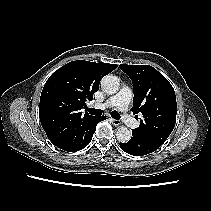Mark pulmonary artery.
I'll list each match as a JSON object with an SVG mask.
<instances>
[{"label":"pulmonary artery","instance_id":"obj_1","mask_svg":"<svg viewBox=\"0 0 211 211\" xmlns=\"http://www.w3.org/2000/svg\"><path fill=\"white\" fill-rule=\"evenodd\" d=\"M132 100V91L128 87H123L116 95L112 96L104 103L95 104V108H117L124 113L123 121L131 128L138 126V121L127 113L130 102Z\"/></svg>","mask_w":211,"mask_h":211}]
</instances>
